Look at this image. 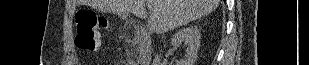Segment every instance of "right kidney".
Listing matches in <instances>:
<instances>
[{"label":"right kidney","mask_w":309,"mask_h":65,"mask_svg":"<svg viewBox=\"0 0 309 65\" xmlns=\"http://www.w3.org/2000/svg\"><path fill=\"white\" fill-rule=\"evenodd\" d=\"M201 33L197 27H186L179 29L171 38L170 44L173 47H179L184 43L187 48L184 58L177 61L176 65H194L197 57V52L200 46ZM166 47V45H164ZM154 65H160V56H156L153 60Z\"/></svg>","instance_id":"1"}]
</instances>
